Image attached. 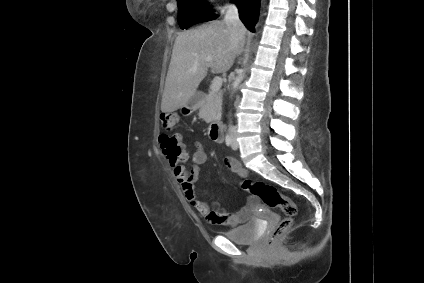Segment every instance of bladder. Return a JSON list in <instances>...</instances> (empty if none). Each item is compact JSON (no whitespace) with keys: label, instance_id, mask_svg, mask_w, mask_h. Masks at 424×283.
Returning a JSON list of instances; mask_svg holds the SVG:
<instances>
[{"label":"bladder","instance_id":"1","mask_svg":"<svg viewBox=\"0 0 424 283\" xmlns=\"http://www.w3.org/2000/svg\"><path fill=\"white\" fill-rule=\"evenodd\" d=\"M260 226L257 220L252 219L246 224L225 234L226 238L236 244H251L259 236Z\"/></svg>","mask_w":424,"mask_h":283}]
</instances>
